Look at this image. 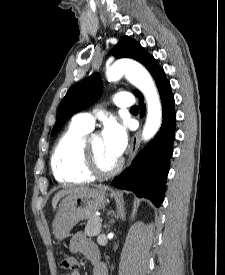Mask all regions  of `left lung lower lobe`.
<instances>
[{"label": "left lung lower lobe", "instance_id": "obj_1", "mask_svg": "<svg viewBox=\"0 0 225 275\" xmlns=\"http://www.w3.org/2000/svg\"><path fill=\"white\" fill-rule=\"evenodd\" d=\"M162 102L163 122L160 131L147 146L138 153L131 166L115 177L112 185L133 191L138 197L149 198L159 207L164 200L166 178L169 172L170 158L173 154L172 144L175 139L176 113L171 86L164 70L154 78ZM139 98L141 116L144 115V99Z\"/></svg>", "mask_w": 225, "mask_h": 275}]
</instances>
